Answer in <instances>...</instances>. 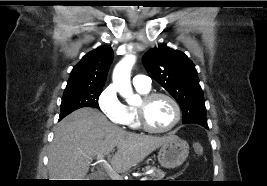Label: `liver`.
I'll return each instance as SVG.
<instances>
[{
  "instance_id": "6515ba94",
  "label": "liver",
  "mask_w": 267,
  "mask_h": 186,
  "mask_svg": "<svg viewBox=\"0 0 267 186\" xmlns=\"http://www.w3.org/2000/svg\"><path fill=\"white\" fill-rule=\"evenodd\" d=\"M170 136L127 132L97 109L81 108L62 119L49 151L50 180H84L92 158L106 155L115 171L123 173L142 162ZM116 153L111 157L114 148Z\"/></svg>"
}]
</instances>
